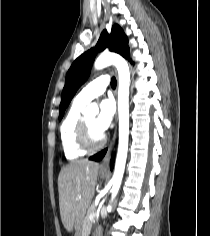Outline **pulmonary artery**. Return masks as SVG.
I'll return each instance as SVG.
<instances>
[{
	"label": "pulmonary artery",
	"instance_id": "obj_1",
	"mask_svg": "<svg viewBox=\"0 0 210 236\" xmlns=\"http://www.w3.org/2000/svg\"><path fill=\"white\" fill-rule=\"evenodd\" d=\"M110 82L108 76H101L85 86L76 96V100L80 103L87 104L97 96L101 95Z\"/></svg>",
	"mask_w": 210,
	"mask_h": 236
}]
</instances>
